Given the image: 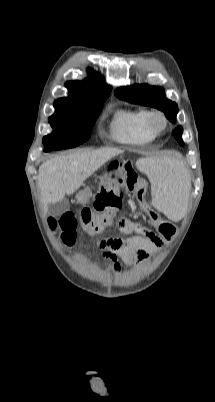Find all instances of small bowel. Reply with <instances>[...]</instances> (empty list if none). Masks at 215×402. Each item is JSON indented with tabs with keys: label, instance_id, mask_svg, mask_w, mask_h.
Here are the masks:
<instances>
[{
	"label": "small bowel",
	"instance_id": "1",
	"mask_svg": "<svg viewBox=\"0 0 215 402\" xmlns=\"http://www.w3.org/2000/svg\"><path fill=\"white\" fill-rule=\"evenodd\" d=\"M121 231L135 232L138 235L128 239L110 238L99 242V248L103 250L102 256L112 263L114 272H118L120 268L116 262L117 256L128 265L134 266L147 260L164 245L163 239L158 234L137 222Z\"/></svg>",
	"mask_w": 215,
	"mask_h": 402
}]
</instances>
